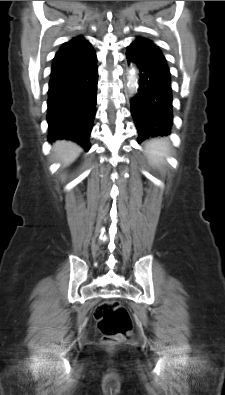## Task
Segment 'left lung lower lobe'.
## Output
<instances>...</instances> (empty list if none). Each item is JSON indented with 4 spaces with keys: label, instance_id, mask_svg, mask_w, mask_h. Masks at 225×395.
Returning <instances> with one entry per match:
<instances>
[{
    "label": "left lung lower lobe",
    "instance_id": "left-lung-lower-lobe-1",
    "mask_svg": "<svg viewBox=\"0 0 225 395\" xmlns=\"http://www.w3.org/2000/svg\"><path fill=\"white\" fill-rule=\"evenodd\" d=\"M126 58L139 72L138 93L131 100V113L139 132L138 143L145 139L171 133L172 88L171 74L166 62L140 61L127 50Z\"/></svg>",
    "mask_w": 225,
    "mask_h": 395
}]
</instances>
